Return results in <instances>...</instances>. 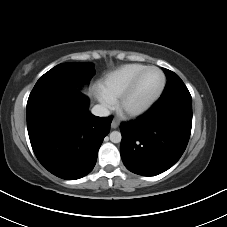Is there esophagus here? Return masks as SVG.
Returning a JSON list of instances; mask_svg holds the SVG:
<instances>
[{"label": "esophagus", "instance_id": "esophagus-1", "mask_svg": "<svg viewBox=\"0 0 227 227\" xmlns=\"http://www.w3.org/2000/svg\"><path fill=\"white\" fill-rule=\"evenodd\" d=\"M118 126H119L118 120L114 119V120L111 122V128H112V129H116V128H118Z\"/></svg>", "mask_w": 227, "mask_h": 227}]
</instances>
